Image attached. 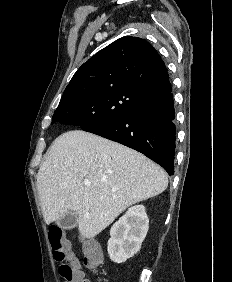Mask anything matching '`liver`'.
I'll return each mask as SVG.
<instances>
[{
    "instance_id": "6515ba94",
    "label": "liver",
    "mask_w": 232,
    "mask_h": 282,
    "mask_svg": "<svg viewBox=\"0 0 232 282\" xmlns=\"http://www.w3.org/2000/svg\"><path fill=\"white\" fill-rule=\"evenodd\" d=\"M167 185L165 171L143 154L83 130L57 137L37 174L44 221L74 211L79 232L89 239Z\"/></svg>"
}]
</instances>
